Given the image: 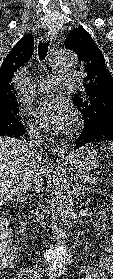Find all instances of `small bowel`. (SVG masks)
Wrapping results in <instances>:
<instances>
[{
    "label": "small bowel",
    "mask_w": 113,
    "mask_h": 279,
    "mask_svg": "<svg viewBox=\"0 0 113 279\" xmlns=\"http://www.w3.org/2000/svg\"><path fill=\"white\" fill-rule=\"evenodd\" d=\"M99 267L113 275V231L105 247V253L99 261Z\"/></svg>",
    "instance_id": "small-bowel-1"
}]
</instances>
